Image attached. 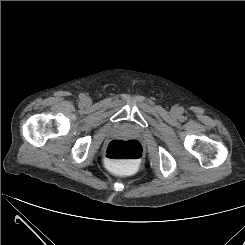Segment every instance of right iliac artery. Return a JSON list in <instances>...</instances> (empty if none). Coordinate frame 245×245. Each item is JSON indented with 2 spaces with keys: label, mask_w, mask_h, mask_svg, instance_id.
Returning <instances> with one entry per match:
<instances>
[{
  "label": "right iliac artery",
  "mask_w": 245,
  "mask_h": 245,
  "mask_svg": "<svg viewBox=\"0 0 245 245\" xmlns=\"http://www.w3.org/2000/svg\"><path fill=\"white\" fill-rule=\"evenodd\" d=\"M84 96H80L81 99H83Z\"/></svg>",
  "instance_id": "right-iliac-artery-1"
}]
</instances>
